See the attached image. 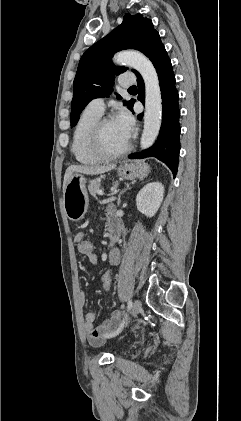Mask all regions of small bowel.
<instances>
[{
    "label": "small bowel",
    "mask_w": 241,
    "mask_h": 421,
    "mask_svg": "<svg viewBox=\"0 0 241 421\" xmlns=\"http://www.w3.org/2000/svg\"><path fill=\"white\" fill-rule=\"evenodd\" d=\"M114 215L113 209H108V216ZM84 234L79 232L74 237V243L79 245L83 242ZM85 255L91 264H96L98 262V257L94 252L83 254ZM120 251L117 248L110 250L108 254V261L111 265H117L120 261ZM79 300L85 302L84 292L79 293ZM96 316L94 312H87L84 318V328L86 331L87 339L92 346H101L109 333H112L114 329L122 320V314L118 311H115L111 314V317L97 326H94Z\"/></svg>",
    "instance_id": "obj_1"
}]
</instances>
